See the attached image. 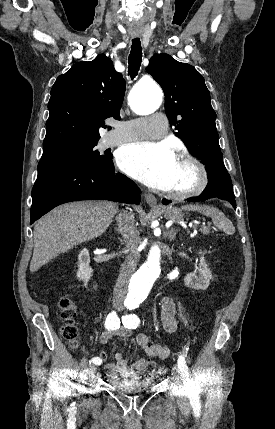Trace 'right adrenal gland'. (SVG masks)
Listing matches in <instances>:
<instances>
[{"instance_id":"right-adrenal-gland-1","label":"right adrenal gland","mask_w":275,"mask_h":429,"mask_svg":"<svg viewBox=\"0 0 275 429\" xmlns=\"http://www.w3.org/2000/svg\"><path fill=\"white\" fill-rule=\"evenodd\" d=\"M115 231L119 232V230L117 228H115Z\"/></svg>"}]
</instances>
